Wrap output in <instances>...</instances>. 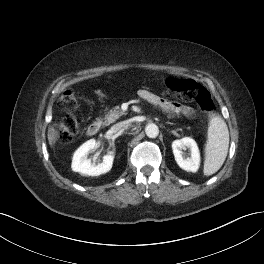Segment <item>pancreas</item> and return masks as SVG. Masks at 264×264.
Here are the masks:
<instances>
[{"mask_svg": "<svg viewBox=\"0 0 264 264\" xmlns=\"http://www.w3.org/2000/svg\"><path fill=\"white\" fill-rule=\"evenodd\" d=\"M124 115V112L120 109L119 106H115L113 109L107 112L104 117L103 126H108L111 123L115 122L119 117Z\"/></svg>", "mask_w": 264, "mask_h": 264, "instance_id": "1", "label": "pancreas"}]
</instances>
